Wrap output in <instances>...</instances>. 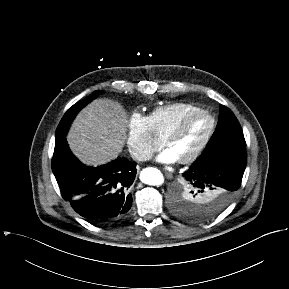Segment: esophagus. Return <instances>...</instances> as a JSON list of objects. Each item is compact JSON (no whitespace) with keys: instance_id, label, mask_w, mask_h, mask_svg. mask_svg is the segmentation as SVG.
Here are the masks:
<instances>
[{"instance_id":"esophagus-1","label":"esophagus","mask_w":289,"mask_h":289,"mask_svg":"<svg viewBox=\"0 0 289 289\" xmlns=\"http://www.w3.org/2000/svg\"><path fill=\"white\" fill-rule=\"evenodd\" d=\"M165 176L169 179L173 178V175L169 172H165Z\"/></svg>"}]
</instances>
